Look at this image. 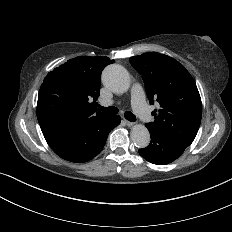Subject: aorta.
<instances>
[{
    "instance_id": "1",
    "label": "aorta",
    "mask_w": 232,
    "mask_h": 232,
    "mask_svg": "<svg viewBox=\"0 0 232 232\" xmlns=\"http://www.w3.org/2000/svg\"><path fill=\"white\" fill-rule=\"evenodd\" d=\"M102 82L113 93L122 94L130 87V77L121 65L107 66L102 73ZM131 139L136 147L145 148L150 143V133L145 125L136 124L131 130Z\"/></svg>"
}]
</instances>
